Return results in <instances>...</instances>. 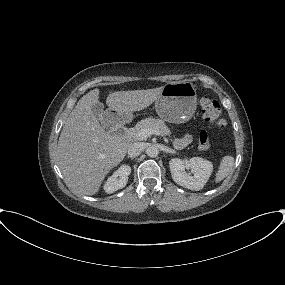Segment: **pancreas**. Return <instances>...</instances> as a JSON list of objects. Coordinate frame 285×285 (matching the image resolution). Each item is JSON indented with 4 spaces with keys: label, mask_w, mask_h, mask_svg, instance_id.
<instances>
[{
    "label": "pancreas",
    "mask_w": 285,
    "mask_h": 285,
    "mask_svg": "<svg viewBox=\"0 0 285 285\" xmlns=\"http://www.w3.org/2000/svg\"><path fill=\"white\" fill-rule=\"evenodd\" d=\"M143 128L157 129L164 136L170 135V129L166 126L165 122L161 119L146 118L138 122L134 127L127 130V137L131 140H142L137 137V133Z\"/></svg>",
    "instance_id": "pancreas-1"
}]
</instances>
